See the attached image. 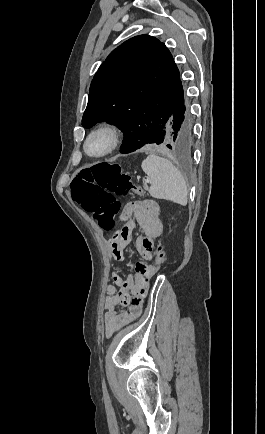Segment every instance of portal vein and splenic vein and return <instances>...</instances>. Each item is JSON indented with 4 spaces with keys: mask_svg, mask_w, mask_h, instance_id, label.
Instances as JSON below:
<instances>
[{
    "mask_svg": "<svg viewBox=\"0 0 265 434\" xmlns=\"http://www.w3.org/2000/svg\"><path fill=\"white\" fill-rule=\"evenodd\" d=\"M144 182H147V184H148V182H150V180H144Z\"/></svg>",
    "mask_w": 265,
    "mask_h": 434,
    "instance_id": "1",
    "label": "portal vein and splenic vein"
}]
</instances>
